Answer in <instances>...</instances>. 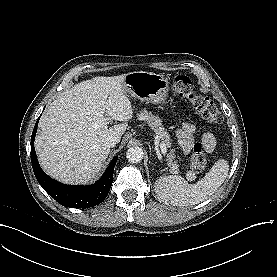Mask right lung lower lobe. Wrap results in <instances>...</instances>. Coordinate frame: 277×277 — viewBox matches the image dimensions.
<instances>
[{
    "instance_id": "right-lung-lower-lobe-1",
    "label": "right lung lower lobe",
    "mask_w": 277,
    "mask_h": 277,
    "mask_svg": "<svg viewBox=\"0 0 277 277\" xmlns=\"http://www.w3.org/2000/svg\"><path fill=\"white\" fill-rule=\"evenodd\" d=\"M39 118L35 124L31 137L32 168L39 184L58 203L66 207L89 208L100 204L107 197L112 185L113 171L118 156L114 157L103 176L95 184L89 186L62 184L46 175L39 166L34 148V139Z\"/></svg>"
}]
</instances>
